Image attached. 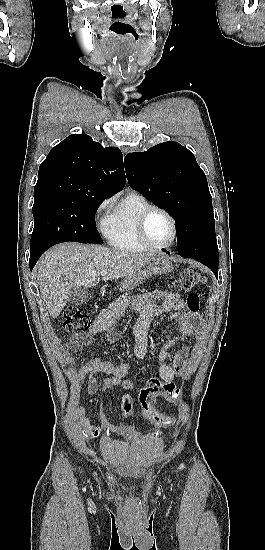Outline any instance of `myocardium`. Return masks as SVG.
I'll list each match as a JSON object with an SVG mask.
<instances>
[{"label":"myocardium","instance_id":"f54148a6","mask_svg":"<svg viewBox=\"0 0 265 550\" xmlns=\"http://www.w3.org/2000/svg\"><path fill=\"white\" fill-rule=\"evenodd\" d=\"M153 212L163 213L171 222L172 237H171L170 241L166 244L156 245L148 237L147 230H146V224H147V220H148L149 216ZM137 233H138V237H139L140 241L148 249H151V250H164V249H167V248L171 247L177 239V235H178L177 222H176V219L174 218V216L168 210H166L165 208L160 207V206L151 205V206L147 207L146 209H144L142 211V213L140 214V216L138 218V221H137Z\"/></svg>","mask_w":265,"mask_h":550}]
</instances>
